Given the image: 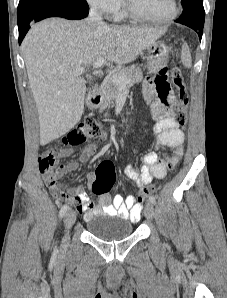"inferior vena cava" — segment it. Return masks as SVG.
Returning <instances> with one entry per match:
<instances>
[{
	"mask_svg": "<svg viewBox=\"0 0 227 298\" xmlns=\"http://www.w3.org/2000/svg\"><path fill=\"white\" fill-rule=\"evenodd\" d=\"M86 21L88 24H91V25H99V26L106 25L105 22L103 21L101 13L98 11L96 6L91 7Z\"/></svg>",
	"mask_w": 227,
	"mask_h": 298,
	"instance_id": "inferior-vena-cava-1",
	"label": "inferior vena cava"
}]
</instances>
